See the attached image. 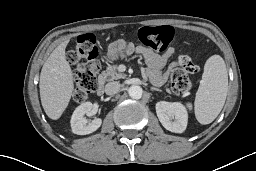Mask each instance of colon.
I'll return each mask as SVG.
<instances>
[{
  "mask_svg": "<svg viewBox=\"0 0 256 171\" xmlns=\"http://www.w3.org/2000/svg\"><path fill=\"white\" fill-rule=\"evenodd\" d=\"M174 30L170 26H143L138 31L142 46L153 51L163 52L171 43ZM99 49L97 39L92 33L78 37L75 47L69 53V60L75 65L73 99L78 103L87 100L96 89L100 64L97 60ZM198 67L188 55H180L171 66L170 79L175 92L188 93L193 87L190 74L197 72Z\"/></svg>",
  "mask_w": 256,
  "mask_h": 171,
  "instance_id": "1",
  "label": "colon"
}]
</instances>
